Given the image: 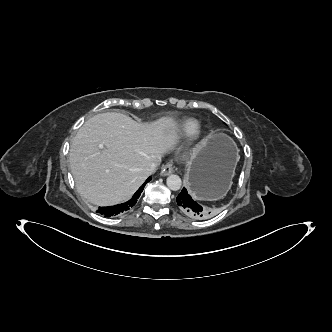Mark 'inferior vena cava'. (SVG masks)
I'll list each match as a JSON object with an SVG mask.
<instances>
[{"mask_svg":"<svg viewBox=\"0 0 332 332\" xmlns=\"http://www.w3.org/2000/svg\"><path fill=\"white\" fill-rule=\"evenodd\" d=\"M158 165H159V161L153 162L149 167L146 168V172H147L148 176L155 173Z\"/></svg>","mask_w":332,"mask_h":332,"instance_id":"602c4592","label":"inferior vena cava"}]
</instances>
